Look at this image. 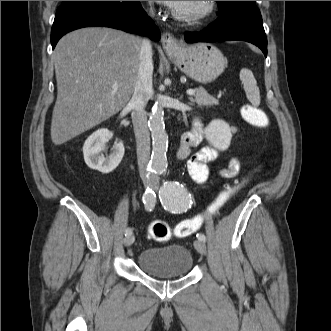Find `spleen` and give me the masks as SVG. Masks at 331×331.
Returning <instances> with one entry per match:
<instances>
[{
	"mask_svg": "<svg viewBox=\"0 0 331 331\" xmlns=\"http://www.w3.org/2000/svg\"><path fill=\"white\" fill-rule=\"evenodd\" d=\"M240 80L244 86L247 99L253 106H258L260 104V92L253 73L246 68L242 69L240 71Z\"/></svg>",
	"mask_w": 331,
	"mask_h": 331,
	"instance_id": "spleen-1",
	"label": "spleen"
}]
</instances>
